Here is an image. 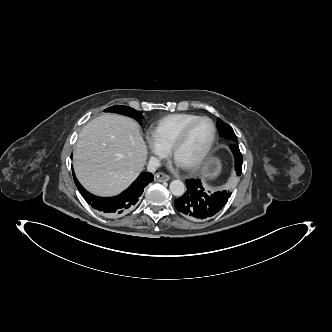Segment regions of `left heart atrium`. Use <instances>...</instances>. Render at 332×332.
<instances>
[{
	"label": "left heart atrium",
	"instance_id": "obj_1",
	"mask_svg": "<svg viewBox=\"0 0 332 332\" xmlns=\"http://www.w3.org/2000/svg\"><path fill=\"white\" fill-rule=\"evenodd\" d=\"M176 162V164L178 165V166H181V164H179L177 161H175Z\"/></svg>",
	"mask_w": 332,
	"mask_h": 332
}]
</instances>
